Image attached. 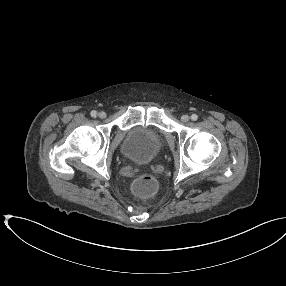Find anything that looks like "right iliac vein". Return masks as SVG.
<instances>
[{
	"label": "right iliac vein",
	"instance_id": "1",
	"mask_svg": "<svg viewBox=\"0 0 286 286\" xmlns=\"http://www.w3.org/2000/svg\"><path fill=\"white\" fill-rule=\"evenodd\" d=\"M98 116L100 117V118H105L106 117V113L105 112H99V114H98Z\"/></svg>",
	"mask_w": 286,
	"mask_h": 286
}]
</instances>
